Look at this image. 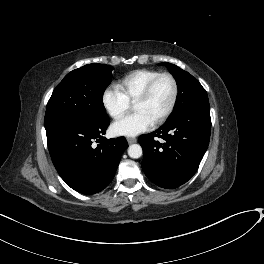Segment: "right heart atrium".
Here are the masks:
<instances>
[{"mask_svg": "<svg viewBox=\"0 0 264 264\" xmlns=\"http://www.w3.org/2000/svg\"><path fill=\"white\" fill-rule=\"evenodd\" d=\"M102 103L114 119L123 117L130 108V101L119 87H108L102 95Z\"/></svg>", "mask_w": 264, "mask_h": 264, "instance_id": "right-heart-atrium-1", "label": "right heart atrium"}]
</instances>
